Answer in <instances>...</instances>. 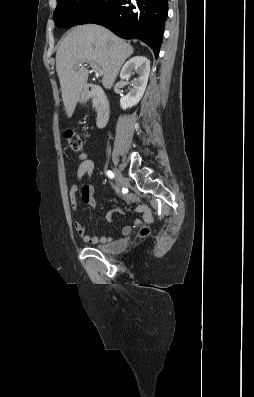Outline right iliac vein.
I'll list each match as a JSON object with an SVG mask.
<instances>
[{
  "instance_id": "63e3f726",
  "label": "right iliac vein",
  "mask_w": 254,
  "mask_h": 397,
  "mask_svg": "<svg viewBox=\"0 0 254 397\" xmlns=\"http://www.w3.org/2000/svg\"><path fill=\"white\" fill-rule=\"evenodd\" d=\"M113 171H114V174H115V180H116V183H117L118 187L124 186L125 178L123 177V175L120 172V170H118L117 168H114Z\"/></svg>"
}]
</instances>
